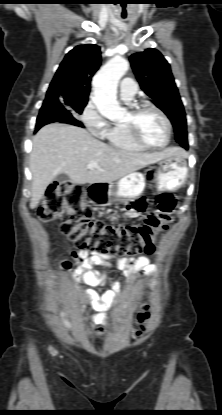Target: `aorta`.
Here are the masks:
<instances>
[{"instance_id":"obj_1","label":"aorta","mask_w":222,"mask_h":415,"mask_svg":"<svg viewBox=\"0 0 222 415\" xmlns=\"http://www.w3.org/2000/svg\"><path fill=\"white\" fill-rule=\"evenodd\" d=\"M128 69V61L115 56L93 78V102L99 113L108 119H118L123 115V109L117 101V85Z\"/></svg>"}]
</instances>
